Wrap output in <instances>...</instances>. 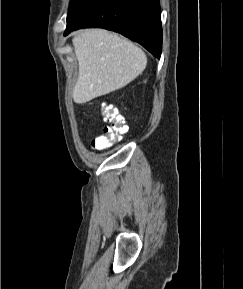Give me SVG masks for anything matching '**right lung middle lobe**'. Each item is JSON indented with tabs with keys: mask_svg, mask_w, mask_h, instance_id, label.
<instances>
[{
	"mask_svg": "<svg viewBox=\"0 0 243 289\" xmlns=\"http://www.w3.org/2000/svg\"><path fill=\"white\" fill-rule=\"evenodd\" d=\"M81 0H71L70 6H69V11H68V16H70L77 8ZM67 16V17H68Z\"/></svg>",
	"mask_w": 243,
	"mask_h": 289,
	"instance_id": "dd1d6c3e",
	"label": "right lung middle lobe"
}]
</instances>
